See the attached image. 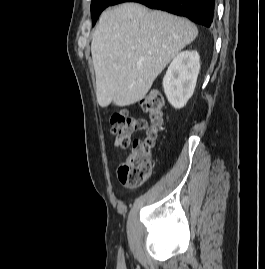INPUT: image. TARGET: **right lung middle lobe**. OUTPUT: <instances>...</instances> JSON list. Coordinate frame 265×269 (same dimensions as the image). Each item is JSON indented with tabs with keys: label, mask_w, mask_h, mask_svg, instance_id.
<instances>
[{
	"label": "right lung middle lobe",
	"mask_w": 265,
	"mask_h": 269,
	"mask_svg": "<svg viewBox=\"0 0 265 269\" xmlns=\"http://www.w3.org/2000/svg\"><path fill=\"white\" fill-rule=\"evenodd\" d=\"M114 0H92L91 3V16L92 24L94 25L100 15V13L111 5Z\"/></svg>",
	"instance_id": "dd1d6c3e"
}]
</instances>
